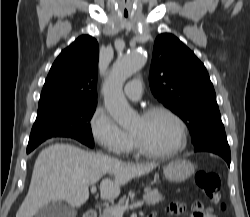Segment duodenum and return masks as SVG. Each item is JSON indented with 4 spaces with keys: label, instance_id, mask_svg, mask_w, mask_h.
Returning a JSON list of instances; mask_svg holds the SVG:
<instances>
[{
    "label": "duodenum",
    "instance_id": "1",
    "mask_svg": "<svg viewBox=\"0 0 250 217\" xmlns=\"http://www.w3.org/2000/svg\"><path fill=\"white\" fill-rule=\"evenodd\" d=\"M84 217H98V212L95 208H89L85 214ZM150 217H155V216H150Z\"/></svg>",
    "mask_w": 250,
    "mask_h": 217
}]
</instances>
